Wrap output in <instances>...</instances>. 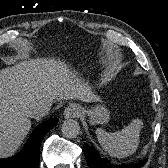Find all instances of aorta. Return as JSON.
<instances>
[{"mask_svg":"<svg viewBox=\"0 0 168 168\" xmlns=\"http://www.w3.org/2000/svg\"><path fill=\"white\" fill-rule=\"evenodd\" d=\"M62 133L67 138H76L80 133L79 123L74 119H67L61 127Z\"/></svg>","mask_w":168,"mask_h":168,"instance_id":"1","label":"aorta"}]
</instances>
